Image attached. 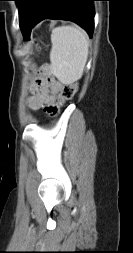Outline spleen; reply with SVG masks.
I'll return each instance as SVG.
<instances>
[{"label": "spleen", "mask_w": 133, "mask_h": 253, "mask_svg": "<svg viewBox=\"0 0 133 253\" xmlns=\"http://www.w3.org/2000/svg\"><path fill=\"white\" fill-rule=\"evenodd\" d=\"M51 73L62 83L79 80L88 59L87 33L77 26H60L52 30Z\"/></svg>", "instance_id": "spleen-1"}]
</instances>
